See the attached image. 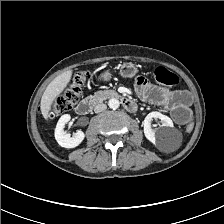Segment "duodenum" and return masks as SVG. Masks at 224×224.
<instances>
[{
	"instance_id": "duodenum-1",
	"label": "duodenum",
	"mask_w": 224,
	"mask_h": 224,
	"mask_svg": "<svg viewBox=\"0 0 224 224\" xmlns=\"http://www.w3.org/2000/svg\"><path fill=\"white\" fill-rule=\"evenodd\" d=\"M110 98V99H120L123 103L124 108L129 112H135L137 109L136 103L126 97H122L121 94L115 91H107L102 95H92L85 99H83L75 108V111L78 115H86L91 109L99 102L102 98Z\"/></svg>"
}]
</instances>
